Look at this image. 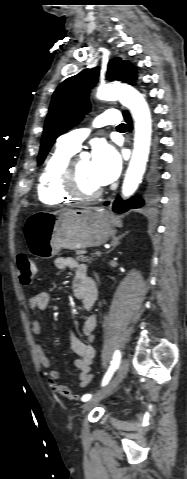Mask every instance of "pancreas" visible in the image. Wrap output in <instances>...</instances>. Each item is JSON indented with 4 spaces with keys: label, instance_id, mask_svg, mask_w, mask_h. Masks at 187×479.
<instances>
[{
    "label": "pancreas",
    "instance_id": "cf45deb5",
    "mask_svg": "<svg viewBox=\"0 0 187 479\" xmlns=\"http://www.w3.org/2000/svg\"><path fill=\"white\" fill-rule=\"evenodd\" d=\"M82 253H83L82 251H78V252L76 253V255H77V256H76V260H77V261H80V262H90V261L92 260L91 258H88V257L84 256Z\"/></svg>",
    "mask_w": 187,
    "mask_h": 479
}]
</instances>
